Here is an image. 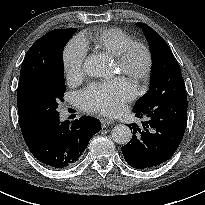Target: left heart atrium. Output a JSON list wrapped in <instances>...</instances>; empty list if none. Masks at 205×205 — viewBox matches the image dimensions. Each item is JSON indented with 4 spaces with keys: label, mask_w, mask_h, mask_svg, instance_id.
<instances>
[{
    "label": "left heart atrium",
    "mask_w": 205,
    "mask_h": 205,
    "mask_svg": "<svg viewBox=\"0 0 205 205\" xmlns=\"http://www.w3.org/2000/svg\"><path fill=\"white\" fill-rule=\"evenodd\" d=\"M136 93L137 88L132 81L118 77L91 83L78 94V102L84 111L117 115L134 99Z\"/></svg>",
    "instance_id": "obj_1"
}]
</instances>
